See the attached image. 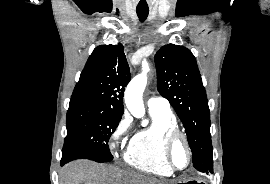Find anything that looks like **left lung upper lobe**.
<instances>
[{"mask_svg": "<svg viewBox=\"0 0 270 184\" xmlns=\"http://www.w3.org/2000/svg\"><path fill=\"white\" fill-rule=\"evenodd\" d=\"M155 64L158 91L183 122L194 168L212 173L210 112L195 57L183 46L168 44L156 53Z\"/></svg>", "mask_w": 270, "mask_h": 184, "instance_id": "obj_1", "label": "left lung upper lobe"}]
</instances>
